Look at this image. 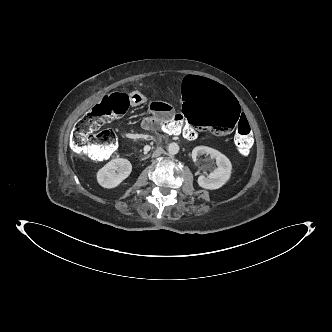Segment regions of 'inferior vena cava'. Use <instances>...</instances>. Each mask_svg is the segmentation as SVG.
<instances>
[{"instance_id": "602c4592", "label": "inferior vena cava", "mask_w": 332, "mask_h": 332, "mask_svg": "<svg viewBox=\"0 0 332 332\" xmlns=\"http://www.w3.org/2000/svg\"><path fill=\"white\" fill-rule=\"evenodd\" d=\"M163 152H164L163 148L159 147V148H157V149L154 151V153H153L152 156H153V157H158V156H160Z\"/></svg>"}]
</instances>
